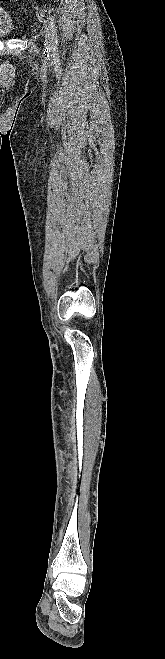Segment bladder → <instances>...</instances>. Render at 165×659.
Listing matches in <instances>:
<instances>
[{
  "instance_id": "bladder-1",
  "label": "bladder",
  "mask_w": 165,
  "mask_h": 659,
  "mask_svg": "<svg viewBox=\"0 0 165 659\" xmlns=\"http://www.w3.org/2000/svg\"><path fill=\"white\" fill-rule=\"evenodd\" d=\"M15 32L14 20L11 15L0 7V37H10Z\"/></svg>"
}]
</instances>
